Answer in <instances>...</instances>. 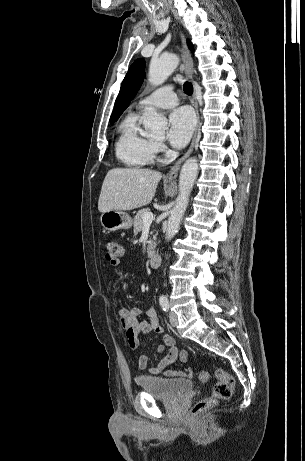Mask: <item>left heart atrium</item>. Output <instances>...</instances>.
<instances>
[{"label":"left heart atrium","instance_id":"left-heart-atrium-1","mask_svg":"<svg viewBox=\"0 0 305 461\" xmlns=\"http://www.w3.org/2000/svg\"><path fill=\"white\" fill-rule=\"evenodd\" d=\"M168 140L175 148H182L190 140L195 127L192 111L186 107L174 110L168 119Z\"/></svg>","mask_w":305,"mask_h":461}]
</instances>
